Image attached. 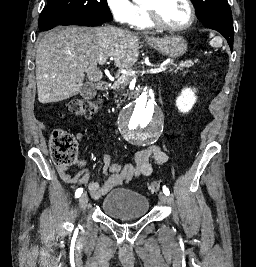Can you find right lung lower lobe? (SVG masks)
<instances>
[{
    "label": "right lung lower lobe",
    "mask_w": 256,
    "mask_h": 267,
    "mask_svg": "<svg viewBox=\"0 0 256 267\" xmlns=\"http://www.w3.org/2000/svg\"><path fill=\"white\" fill-rule=\"evenodd\" d=\"M100 21H85V20H76V21H69L65 22L63 25H83V26H97L99 25ZM55 27V26H54ZM53 28V27H52ZM51 29V28H50ZM49 30V29H48Z\"/></svg>",
    "instance_id": "98d812e1"
}]
</instances>
